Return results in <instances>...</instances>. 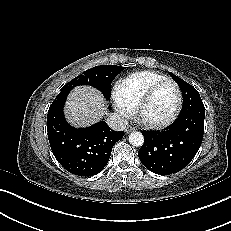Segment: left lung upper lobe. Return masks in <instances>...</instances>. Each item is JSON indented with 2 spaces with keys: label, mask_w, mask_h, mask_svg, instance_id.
I'll return each instance as SVG.
<instances>
[{
  "label": "left lung upper lobe",
  "mask_w": 231,
  "mask_h": 231,
  "mask_svg": "<svg viewBox=\"0 0 231 231\" xmlns=\"http://www.w3.org/2000/svg\"><path fill=\"white\" fill-rule=\"evenodd\" d=\"M169 74L178 83L182 91L183 106L181 112L190 109L192 106L203 105L198 91L192 85L188 84L187 82H185L184 80L177 77L171 72H169Z\"/></svg>",
  "instance_id": "5c2ea615"
}]
</instances>
